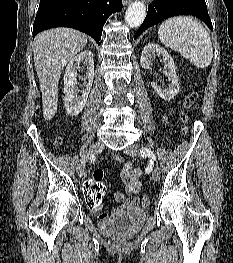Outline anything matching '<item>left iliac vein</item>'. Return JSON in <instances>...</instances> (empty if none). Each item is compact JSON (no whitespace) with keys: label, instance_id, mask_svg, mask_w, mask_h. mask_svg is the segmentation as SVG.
<instances>
[{"label":"left iliac vein","instance_id":"obj_1","mask_svg":"<svg viewBox=\"0 0 233 263\" xmlns=\"http://www.w3.org/2000/svg\"><path fill=\"white\" fill-rule=\"evenodd\" d=\"M125 154H127L128 156L131 157H139L140 156V146L137 144H132L130 146H128L125 149ZM152 178L154 181H158L160 178V169L157 165L153 166L152 169Z\"/></svg>","mask_w":233,"mask_h":263}]
</instances>
